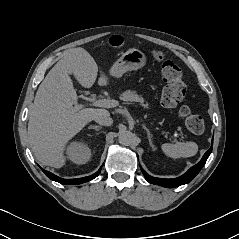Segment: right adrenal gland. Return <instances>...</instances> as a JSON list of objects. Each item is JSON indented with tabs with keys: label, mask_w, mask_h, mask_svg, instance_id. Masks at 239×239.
Instances as JSON below:
<instances>
[{
	"label": "right adrenal gland",
	"mask_w": 239,
	"mask_h": 239,
	"mask_svg": "<svg viewBox=\"0 0 239 239\" xmlns=\"http://www.w3.org/2000/svg\"><path fill=\"white\" fill-rule=\"evenodd\" d=\"M88 129H94L96 131H99L101 129V126H89Z\"/></svg>",
	"instance_id": "1"
}]
</instances>
